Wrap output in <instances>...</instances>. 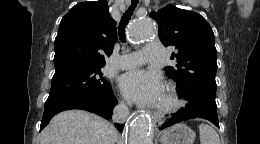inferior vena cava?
<instances>
[{"mask_svg": "<svg viewBox=\"0 0 260 144\" xmlns=\"http://www.w3.org/2000/svg\"><path fill=\"white\" fill-rule=\"evenodd\" d=\"M128 115V106L124 102H120L113 110L112 119L117 123H124Z\"/></svg>", "mask_w": 260, "mask_h": 144, "instance_id": "obj_1", "label": "inferior vena cava"}]
</instances>
